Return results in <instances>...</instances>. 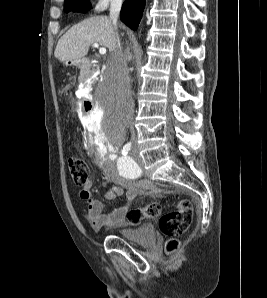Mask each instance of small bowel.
I'll use <instances>...</instances> for the list:
<instances>
[{"label": "small bowel", "instance_id": "c3829d8e", "mask_svg": "<svg viewBox=\"0 0 267 298\" xmlns=\"http://www.w3.org/2000/svg\"><path fill=\"white\" fill-rule=\"evenodd\" d=\"M106 178L113 183V186L107 192L106 199L111 201L117 196H125L126 201L113 212L103 213V203L91 195L92 181L89 180L80 191V198L86 203L85 218L95 231H99L102 228H119L124 226L130 203L136 197L138 191V187L135 184L117 175L109 174Z\"/></svg>", "mask_w": 267, "mask_h": 298}]
</instances>
